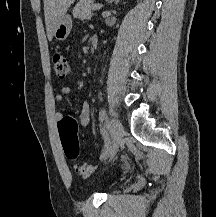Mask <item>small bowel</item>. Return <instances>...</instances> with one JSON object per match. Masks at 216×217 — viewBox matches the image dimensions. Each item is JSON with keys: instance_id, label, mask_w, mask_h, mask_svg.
<instances>
[{"instance_id": "small-bowel-1", "label": "small bowel", "mask_w": 216, "mask_h": 217, "mask_svg": "<svg viewBox=\"0 0 216 217\" xmlns=\"http://www.w3.org/2000/svg\"><path fill=\"white\" fill-rule=\"evenodd\" d=\"M70 93V88L67 86H62L59 93L54 97V103L59 105L63 102L64 96ZM64 118L63 114L60 112H55L54 120L57 124ZM78 121L82 127H87L90 123V103L84 101L81 107V111L78 117Z\"/></svg>"}]
</instances>
